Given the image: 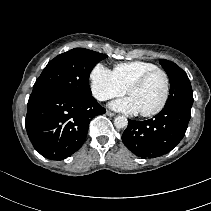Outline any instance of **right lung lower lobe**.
Segmentation results:
<instances>
[{
    "label": "right lung lower lobe",
    "instance_id": "98d812e1",
    "mask_svg": "<svg viewBox=\"0 0 211 211\" xmlns=\"http://www.w3.org/2000/svg\"><path fill=\"white\" fill-rule=\"evenodd\" d=\"M91 96L34 92L27 105L26 130L34 148L45 158L63 160L84 143L91 119L105 113Z\"/></svg>",
    "mask_w": 211,
    "mask_h": 211
}]
</instances>
